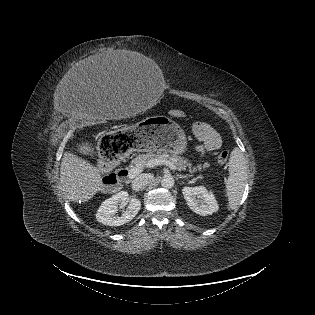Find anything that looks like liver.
<instances>
[{"mask_svg":"<svg viewBox=\"0 0 315 315\" xmlns=\"http://www.w3.org/2000/svg\"><path fill=\"white\" fill-rule=\"evenodd\" d=\"M125 54L117 53L115 56L105 54L94 55L79 64V69L99 72L101 69H118V58ZM77 150L83 154L93 151L88 143L77 144ZM101 170L78 156L65 152L60 167V183L63 192L69 201L87 202L103 188Z\"/></svg>","mask_w":315,"mask_h":315,"instance_id":"obj_1","label":"liver"}]
</instances>
